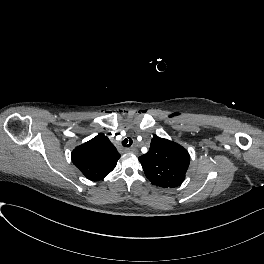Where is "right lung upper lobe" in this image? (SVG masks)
<instances>
[{
	"mask_svg": "<svg viewBox=\"0 0 264 264\" xmlns=\"http://www.w3.org/2000/svg\"><path fill=\"white\" fill-rule=\"evenodd\" d=\"M119 158L114 145L102 133L76 147L71 154L74 165L92 181L105 178L114 169Z\"/></svg>",
	"mask_w": 264,
	"mask_h": 264,
	"instance_id": "obj_1",
	"label": "right lung upper lobe"
}]
</instances>
